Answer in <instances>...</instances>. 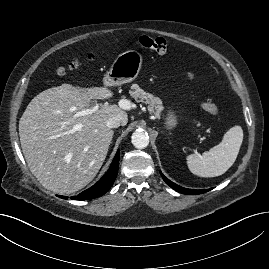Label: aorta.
I'll use <instances>...</instances> for the list:
<instances>
[{
    "mask_svg": "<svg viewBox=\"0 0 269 269\" xmlns=\"http://www.w3.org/2000/svg\"><path fill=\"white\" fill-rule=\"evenodd\" d=\"M131 142L136 148L143 149L149 144V136L146 132L137 130L132 134Z\"/></svg>",
    "mask_w": 269,
    "mask_h": 269,
    "instance_id": "762f6f07",
    "label": "aorta"
}]
</instances>
